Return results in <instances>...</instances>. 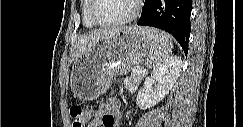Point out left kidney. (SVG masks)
Instances as JSON below:
<instances>
[{
  "instance_id": "1",
  "label": "left kidney",
  "mask_w": 243,
  "mask_h": 127,
  "mask_svg": "<svg viewBox=\"0 0 243 127\" xmlns=\"http://www.w3.org/2000/svg\"><path fill=\"white\" fill-rule=\"evenodd\" d=\"M182 68L179 56L169 58L162 66L153 70L151 78L156 82L155 90L148 86L142 87L137 94L136 104L140 109H147L160 102L172 89Z\"/></svg>"
}]
</instances>
